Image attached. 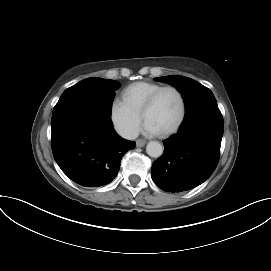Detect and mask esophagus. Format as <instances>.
Masks as SVG:
<instances>
[{
    "mask_svg": "<svg viewBox=\"0 0 271 271\" xmlns=\"http://www.w3.org/2000/svg\"><path fill=\"white\" fill-rule=\"evenodd\" d=\"M146 144V141L143 139L136 140V146L137 147H143Z\"/></svg>",
    "mask_w": 271,
    "mask_h": 271,
    "instance_id": "34e87169",
    "label": "esophagus"
}]
</instances>
